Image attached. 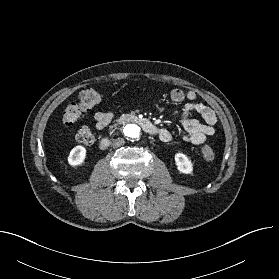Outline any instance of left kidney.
Wrapping results in <instances>:
<instances>
[{
    "label": "left kidney",
    "instance_id": "left-kidney-1",
    "mask_svg": "<svg viewBox=\"0 0 279 279\" xmlns=\"http://www.w3.org/2000/svg\"><path fill=\"white\" fill-rule=\"evenodd\" d=\"M175 164L180 173L191 174L193 172V165L191 161L183 153H177L175 155Z\"/></svg>",
    "mask_w": 279,
    "mask_h": 279
}]
</instances>
